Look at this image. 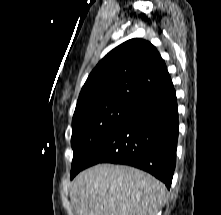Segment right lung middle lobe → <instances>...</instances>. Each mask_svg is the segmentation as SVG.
Instances as JSON below:
<instances>
[{
	"label": "right lung middle lobe",
	"instance_id": "1",
	"mask_svg": "<svg viewBox=\"0 0 221 215\" xmlns=\"http://www.w3.org/2000/svg\"><path fill=\"white\" fill-rule=\"evenodd\" d=\"M133 106L124 101L108 100L76 107L72 120L71 178L85 168L95 149Z\"/></svg>",
	"mask_w": 221,
	"mask_h": 215
}]
</instances>
